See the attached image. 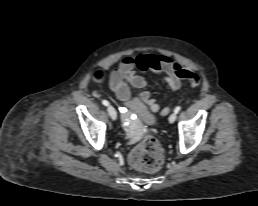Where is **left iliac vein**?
I'll return each instance as SVG.
<instances>
[{"mask_svg":"<svg viewBox=\"0 0 258 206\" xmlns=\"http://www.w3.org/2000/svg\"><path fill=\"white\" fill-rule=\"evenodd\" d=\"M177 118V114L174 112L169 116V122L173 123Z\"/></svg>","mask_w":258,"mask_h":206,"instance_id":"1","label":"left iliac vein"}]
</instances>
